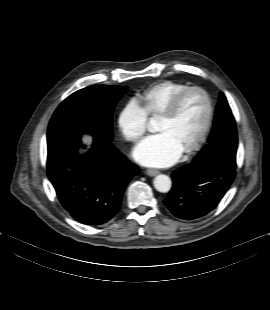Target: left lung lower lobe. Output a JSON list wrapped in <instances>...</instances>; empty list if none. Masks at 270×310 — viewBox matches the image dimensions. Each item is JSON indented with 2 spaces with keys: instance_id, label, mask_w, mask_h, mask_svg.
<instances>
[{
  "instance_id": "left-lung-lower-lobe-1",
  "label": "left lung lower lobe",
  "mask_w": 270,
  "mask_h": 310,
  "mask_svg": "<svg viewBox=\"0 0 270 310\" xmlns=\"http://www.w3.org/2000/svg\"><path fill=\"white\" fill-rule=\"evenodd\" d=\"M235 169L236 164L193 160L172 174L173 186L164 204L180 219H198L219 204L235 178Z\"/></svg>"
}]
</instances>
